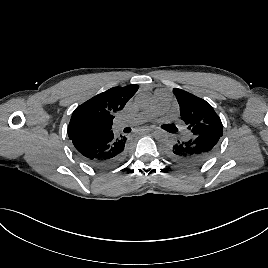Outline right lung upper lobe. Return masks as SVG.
I'll return each instance as SVG.
<instances>
[{"mask_svg":"<svg viewBox=\"0 0 268 268\" xmlns=\"http://www.w3.org/2000/svg\"><path fill=\"white\" fill-rule=\"evenodd\" d=\"M138 88V85L113 87L78 106L68 126L69 138L79 136L77 131L82 128L89 129L91 135L110 132L114 113L124 108Z\"/></svg>","mask_w":268,"mask_h":268,"instance_id":"right-lung-upper-lobe-1","label":"right lung upper lobe"}]
</instances>
